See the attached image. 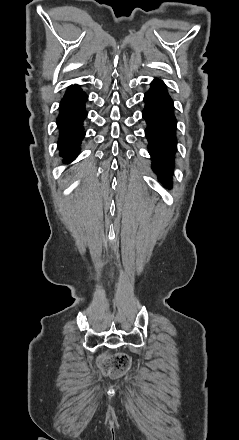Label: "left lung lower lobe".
I'll use <instances>...</instances> for the list:
<instances>
[{"label": "left lung lower lobe", "mask_w": 239, "mask_h": 440, "mask_svg": "<svg viewBox=\"0 0 239 440\" xmlns=\"http://www.w3.org/2000/svg\"><path fill=\"white\" fill-rule=\"evenodd\" d=\"M143 118L147 122L145 135L149 142V152L153 170L160 180L171 187V173L176 151V118L173 114V101L165 84L158 79L151 83V89L144 96Z\"/></svg>", "instance_id": "left-lung-lower-lobe-1"}]
</instances>
